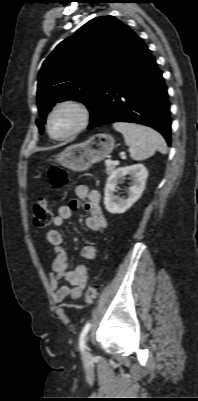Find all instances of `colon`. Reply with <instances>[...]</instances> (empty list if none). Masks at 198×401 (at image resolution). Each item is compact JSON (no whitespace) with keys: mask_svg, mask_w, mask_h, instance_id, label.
Listing matches in <instances>:
<instances>
[{"mask_svg":"<svg viewBox=\"0 0 198 401\" xmlns=\"http://www.w3.org/2000/svg\"><path fill=\"white\" fill-rule=\"evenodd\" d=\"M48 176L51 184L56 188H62L68 184V176L66 171L58 166H51L48 169ZM33 218L34 224L39 228H45L51 223L53 213L47 201H41L34 206ZM95 296V286H88L85 293V302L91 303Z\"/></svg>","mask_w":198,"mask_h":401,"instance_id":"colon-1","label":"colon"}]
</instances>
